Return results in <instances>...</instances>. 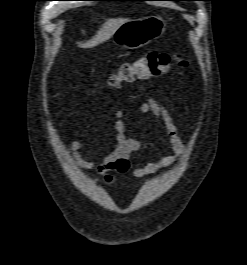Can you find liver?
Instances as JSON below:
<instances>
[{
	"label": "liver",
	"instance_id": "1",
	"mask_svg": "<svg viewBox=\"0 0 247 265\" xmlns=\"http://www.w3.org/2000/svg\"><path fill=\"white\" fill-rule=\"evenodd\" d=\"M127 21H129L127 18L108 19L97 31L96 35L92 37V39L85 43L78 42L77 44L81 48L95 47L109 40L115 34L117 29Z\"/></svg>",
	"mask_w": 247,
	"mask_h": 265
}]
</instances>
